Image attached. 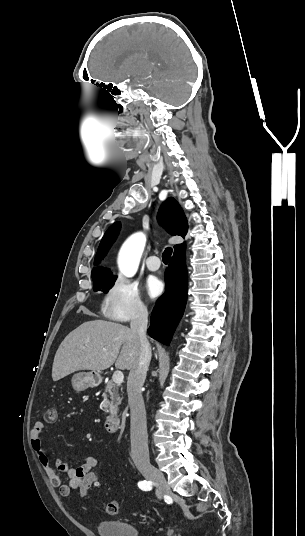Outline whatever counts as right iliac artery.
<instances>
[{
    "instance_id": "right-iliac-artery-1",
    "label": "right iliac artery",
    "mask_w": 305,
    "mask_h": 536,
    "mask_svg": "<svg viewBox=\"0 0 305 536\" xmlns=\"http://www.w3.org/2000/svg\"><path fill=\"white\" fill-rule=\"evenodd\" d=\"M152 483L150 481H140L138 483V487L141 489V490H144V491H149L152 489L151 487Z\"/></svg>"
}]
</instances>
